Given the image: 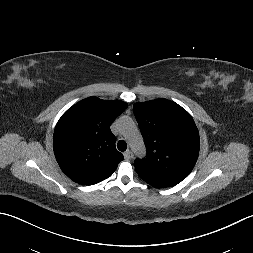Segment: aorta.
<instances>
[{
    "instance_id": "1",
    "label": "aorta",
    "mask_w": 253,
    "mask_h": 253,
    "mask_svg": "<svg viewBox=\"0 0 253 253\" xmlns=\"http://www.w3.org/2000/svg\"><path fill=\"white\" fill-rule=\"evenodd\" d=\"M121 128L123 131L131 134L130 143L132 149L136 153H141L144 150L141 136L139 135L137 129L134 126V123L130 119H123L121 122Z\"/></svg>"
}]
</instances>
